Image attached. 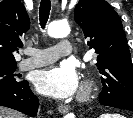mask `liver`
<instances>
[{
	"label": "liver",
	"mask_w": 133,
	"mask_h": 118,
	"mask_svg": "<svg viewBox=\"0 0 133 118\" xmlns=\"http://www.w3.org/2000/svg\"><path fill=\"white\" fill-rule=\"evenodd\" d=\"M0 118H25V115L15 110L0 106Z\"/></svg>",
	"instance_id": "1"
}]
</instances>
